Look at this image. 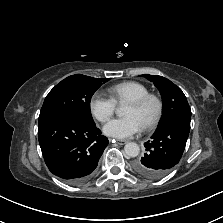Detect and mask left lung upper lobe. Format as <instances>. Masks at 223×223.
I'll list each match as a JSON object with an SVG mask.
<instances>
[{"label": "left lung upper lobe", "mask_w": 223, "mask_h": 223, "mask_svg": "<svg viewBox=\"0 0 223 223\" xmlns=\"http://www.w3.org/2000/svg\"><path fill=\"white\" fill-rule=\"evenodd\" d=\"M161 93L163 114L156 130L172 122H182L190 126L191 109L182 90L173 82L162 76L144 74Z\"/></svg>", "instance_id": "obj_1"}]
</instances>
